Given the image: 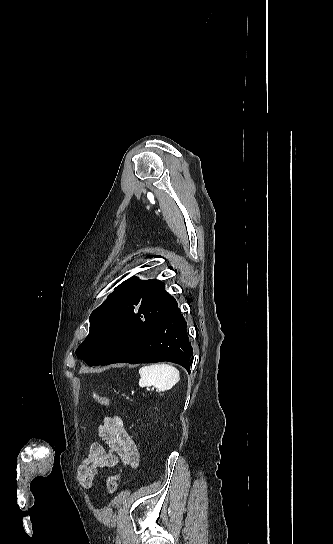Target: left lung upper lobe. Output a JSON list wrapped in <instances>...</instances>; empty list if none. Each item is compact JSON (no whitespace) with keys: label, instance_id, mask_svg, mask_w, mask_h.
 I'll use <instances>...</instances> for the list:
<instances>
[{"label":"left lung upper lobe","instance_id":"obj_1","mask_svg":"<svg viewBox=\"0 0 333 544\" xmlns=\"http://www.w3.org/2000/svg\"><path fill=\"white\" fill-rule=\"evenodd\" d=\"M176 300L165 292V284L157 279L141 281L132 277L119 285L108 299L90 316V332L77 348L76 355L89 366L102 360L95 333L109 319L128 320L133 324L151 323L164 315Z\"/></svg>","mask_w":333,"mask_h":544}]
</instances>
